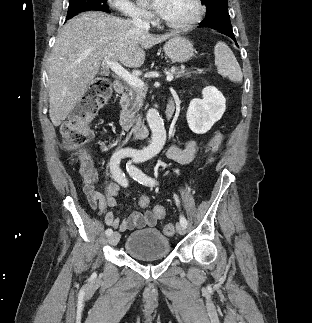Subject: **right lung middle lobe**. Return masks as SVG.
<instances>
[{
    "label": "right lung middle lobe",
    "mask_w": 312,
    "mask_h": 323,
    "mask_svg": "<svg viewBox=\"0 0 312 323\" xmlns=\"http://www.w3.org/2000/svg\"><path fill=\"white\" fill-rule=\"evenodd\" d=\"M107 0H69V8L66 19H70L78 13L90 10L109 12Z\"/></svg>",
    "instance_id": "right-lung-middle-lobe-1"
}]
</instances>
